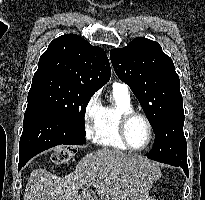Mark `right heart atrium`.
Wrapping results in <instances>:
<instances>
[{
    "instance_id": "d8ad5b80",
    "label": "right heart atrium",
    "mask_w": 205,
    "mask_h": 200,
    "mask_svg": "<svg viewBox=\"0 0 205 200\" xmlns=\"http://www.w3.org/2000/svg\"><path fill=\"white\" fill-rule=\"evenodd\" d=\"M101 109L100 92H95L86 102L83 111L84 130L88 139H94L96 136Z\"/></svg>"
}]
</instances>
